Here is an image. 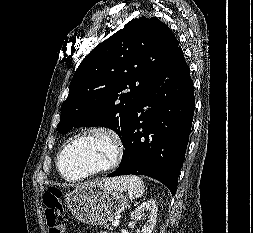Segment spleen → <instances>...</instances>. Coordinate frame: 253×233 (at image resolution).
<instances>
[{
  "mask_svg": "<svg viewBox=\"0 0 253 233\" xmlns=\"http://www.w3.org/2000/svg\"><path fill=\"white\" fill-rule=\"evenodd\" d=\"M108 180L109 184L106 185L107 188L127 192L136 198L141 197L145 190L142 178L135 175L121 176Z\"/></svg>",
  "mask_w": 253,
  "mask_h": 233,
  "instance_id": "3e777b00",
  "label": "spleen"
}]
</instances>
